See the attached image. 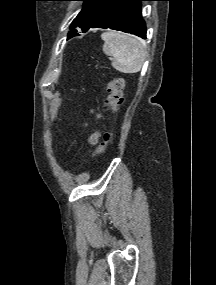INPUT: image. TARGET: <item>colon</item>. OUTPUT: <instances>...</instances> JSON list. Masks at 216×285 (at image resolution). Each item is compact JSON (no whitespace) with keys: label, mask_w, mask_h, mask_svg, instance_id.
<instances>
[{"label":"colon","mask_w":216,"mask_h":285,"mask_svg":"<svg viewBox=\"0 0 216 285\" xmlns=\"http://www.w3.org/2000/svg\"><path fill=\"white\" fill-rule=\"evenodd\" d=\"M124 80L120 77L113 78L107 83V97L105 99V108L116 112L123 102ZM113 134L108 132L104 135L102 143L98 146L96 153H102L107 145L112 141Z\"/></svg>","instance_id":"5ec220e1"}]
</instances>
